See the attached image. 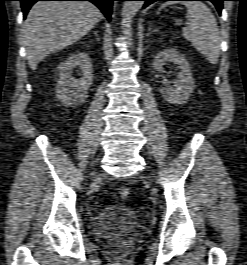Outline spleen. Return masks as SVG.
Segmentation results:
<instances>
[{"mask_svg": "<svg viewBox=\"0 0 247 265\" xmlns=\"http://www.w3.org/2000/svg\"><path fill=\"white\" fill-rule=\"evenodd\" d=\"M176 2H165L160 9ZM187 8L189 26L183 28V36L202 53L211 64H217L221 38L217 21L211 10L200 1L181 2Z\"/></svg>", "mask_w": 247, "mask_h": 265, "instance_id": "obj_1", "label": "spleen"}]
</instances>
